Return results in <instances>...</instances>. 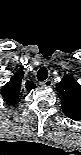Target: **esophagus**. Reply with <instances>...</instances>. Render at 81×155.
I'll list each match as a JSON object with an SVG mask.
<instances>
[{"mask_svg": "<svg viewBox=\"0 0 81 155\" xmlns=\"http://www.w3.org/2000/svg\"><path fill=\"white\" fill-rule=\"evenodd\" d=\"M53 84L51 79H46L45 81L41 82L40 85L44 87H51Z\"/></svg>", "mask_w": 81, "mask_h": 155, "instance_id": "obj_1", "label": "esophagus"}]
</instances>
